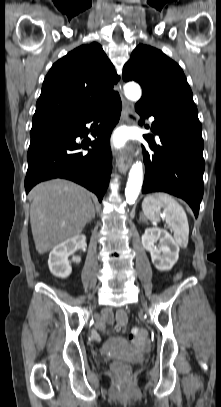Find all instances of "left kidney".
Listing matches in <instances>:
<instances>
[{"mask_svg": "<svg viewBox=\"0 0 221 407\" xmlns=\"http://www.w3.org/2000/svg\"><path fill=\"white\" fill-rule=\"evenodd\" d=\"M157 240L161 243L160 247L154 246ZM142 245L150 252L153 264L160 271L171 270L179 258V245L164 229L147 228L142 235Z\"/></svg>", "mask_w": 221, "mask_h": 407, "instance_id": "5707ae66", "label": "left kidney"}]
</instances>
